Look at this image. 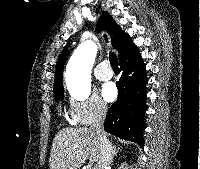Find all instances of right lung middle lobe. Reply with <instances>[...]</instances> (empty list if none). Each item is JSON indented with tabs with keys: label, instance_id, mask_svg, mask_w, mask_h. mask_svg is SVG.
I'll use <instances>...</instances> for the list:
<instances>
[{
	"label": "right lung middle lobe",
	"instance_id": "dd1d6c3e",
	"mask_svg": "<svg viewBox=\"0 0 200 169\" xmlns=\"http://www.w3.org/2000/svg\"><path fill=\"white\" fill-rule=\"evenodd\" d=\"M54 95H55L56 98H58L59 100H63L64 92H56V93H54Z\"/></svg>",
	"mask_w": 200,
	"mask_h": 169
}]
</instances>
